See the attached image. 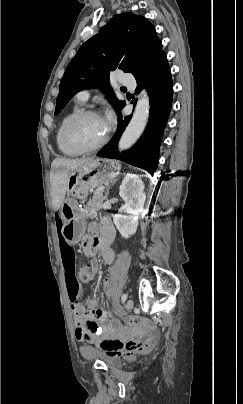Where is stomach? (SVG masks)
Instances as JSON below:
<instances>
[{
    "instance_id": "1",
    "label": "stomach",
    "mask_w": 243,
    "mask_h": 404,
    "mask_svg": "<svg viewBox=\"0 0 243 404\" xmlns=\"http://www.w3.org/2000/svg\"><path fill=\"white\" fill-rule=\"evenodd\" d=\"M121 170L118 161L93 158L70 172L67 192L71 198L64 201L61 213L65 220L62 235L67 243L75 244L80 241L86 229V220L77 206L75 199L87 197L90 189L112 181Z\"/></svg>"
}]
</instances>
